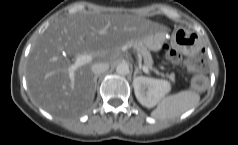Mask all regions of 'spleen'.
Instances as JSON below:
<instances>
[{
    "label": "spleen",
    "mask_w": 238,
    "mask_h": 145,
    "mask_svg": "<svg viewBox=\"0 0 238 145\" xmlns=\"http://www.w3.org/2000/svg\"><path fill=\"white\" fill-rule=\"evenodd\" d=\"M200 101V95L191 90H183L179 93L162 97L151 116L158 120L176 118L186 111L196 107Z\"/></svg>",
    "instance_id": "spleen-1"
}]
</instances>
